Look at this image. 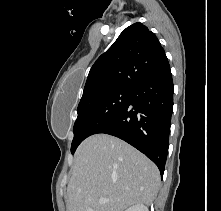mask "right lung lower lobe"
Listing matches in <instances>:
<instances>
[{
	"instance_id": "1",
	"label": "right lung lower lobe",
	"mask_w": 221,
	"mask_h": 211,
	"mask_svg": "<svg viewBox=\"0 0 221 211\" xmlns=\"http://www.w3.org/2000/svg\"><path fill=\"white\" fill-rule=\"evenodd\" d=\"M171 70L147 77L131 88L122 109L95 134L118 137L151 159L161 176L167 159L173 112Z\"/></svg>"
}]
</instances>
